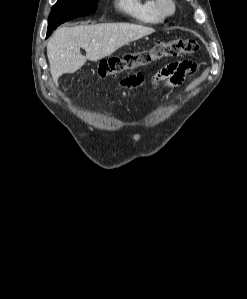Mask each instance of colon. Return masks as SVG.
<instances>
[{
  "mask_svg": "<svg viewBox=\"0 0 247 299\" xmlns=\"http://www.w3.org/2000/svg\"><path fill=\"white\" fill-rule=\"evenodd\" d=\"M199 43L193 38L157 41L150 48L103 60L98 67L101 78L116 76L128 70L150 65L164 58L194 54Z\"/></svg>",
  "mask_w": 247,
  "mask_h": 299,
  "instance_id": "1",
  "label": "colon"
}]
</instances>
